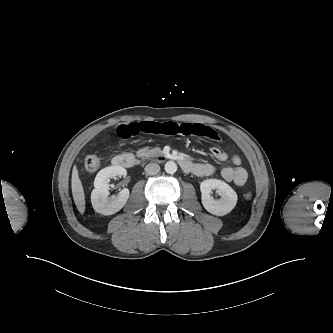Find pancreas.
<instances>
[{
  "label": "pancreas",
  "mask_w": 333,
  "mask_h": 333,
  "mask_svg": "<svg viewBox=\"0 0 333 333\" xmlns=\"http://www.w3.org/2000/svg\"><path fill=\"white\" fill-rule=\"evenodd\" d=\"M161 153V151L159 150V149H151V148H149V147H146V148H143V149H140L138 152H137V154L139 155V156H144V157H152V156H154V155H156V154H160Z\"/></svg>",
  "instance_id": "cf45deb5"
}]
</instances>
